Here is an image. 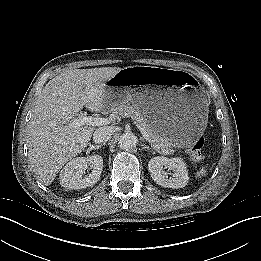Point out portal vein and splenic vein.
I'll list each match as a JSON object with an SVG mask.
<instances>
[{"mask_svg": "<svg viewBox=\"0 0 261 261\" xmlns=\"http://www.w3.org/2000/svg\"><path fill=\"white\" fill-rule=\"evenodd\" d=\"M113 118H97V117H92V116H86L82 112H80L79 116L73 120V122L70 124L71 127L73 128H78L83 125H89V126H102V125H107L112 121ZM137 128L140 130L142 136L146 141L149 143L151 142L150 137L148 132L138 123H136Z\"/></svg>", "mask_w": 261, "mask_h": 261, "instance_id": "18ae733b", "label": "portal vein and splenic vein"}]
</instances>
